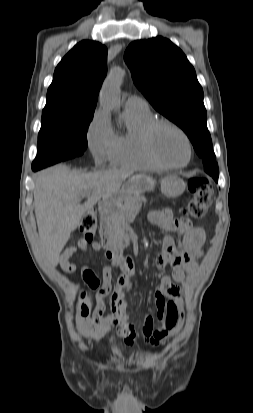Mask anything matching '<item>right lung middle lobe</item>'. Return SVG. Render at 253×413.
<instances>
[{
  "mask_svg": "<svg viewBox=\"0 0 253 413\" xmlns=\"http://www.w3.org/2000/svg\"><path fill=\"white\" fill-rule=\"evenodd\" d=\"M93 114L42 115L38 152L32 169H42L80 156L87 148L86 133Z\"/></svg>",
  "mask_w": 253,
  "mask_h": 413,
  "instance_id": "dd1d6c3e",
  "label": "right lung middle lobe"
}]
</instances>
